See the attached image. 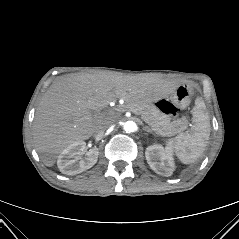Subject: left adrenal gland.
<instances>
[{
  "label": "left adrenal gland",
  "mask_w": 239,
  "mask_h": 239,
  "mask_svg": "<svg viewBox=\"0 0 239 239\" xmlns=\"http://www.w3.org/2000/svg\"><path fill=\"white\" fill-rule=\"evenodd\" d=\"M143 130L148 132V133H153V130L148 126H143Z\"/></svg>",
  "instance_id": "1"
}]
</instances>
